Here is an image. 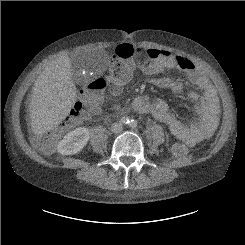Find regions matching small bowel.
<instances>
[{
  "label": "small bowel",
  "mask_w": 245,
  "mask_h": 245,
  "mask_svg": "<svg viewBox=\"0 0 245 245\" xmlns=\"http://www.w3.org/2000/svg\"><path fill=\"white\" fill-rule=\"evenodd\" d=\"M146 53L153 62V69L148 66H142L141 69L147 74L157 75L151 81L155 86L173 91L180 90V82L166 74L167 70L177 68L184 71L190 82L201 90L200 94H193L196 101V120L192 125L187 126L170 110L165 100L157 99L151 102L146 96L135 99L133 109L142 114H151L166 124L175 136L186 143L196 144L209 139L218 125L219 101L214 85L192 60L184 56L155 48L148 49ZM119 91L120 87L114 89L113 93L117 94ZM103 99L104 94L100 96V101L102 102Z\"/></svg>",
  "instance_id": "c3829d8e"
}]
</instances>
